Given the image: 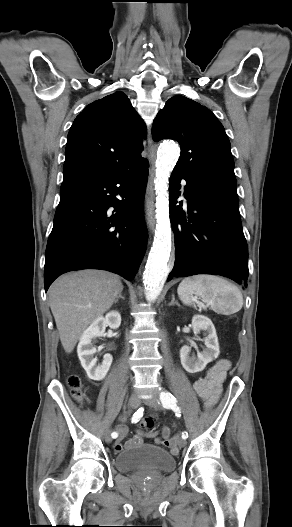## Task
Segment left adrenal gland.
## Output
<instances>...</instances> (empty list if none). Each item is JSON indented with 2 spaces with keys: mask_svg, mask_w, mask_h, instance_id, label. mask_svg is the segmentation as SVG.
I'll return each instance as SVG.
<instances>
[{
  "mask_svg": "<svg viewBox=\"0 0 292 527\" xmlns=\"http://www.w3.org/2000/svg\"><path fill=\"white\" fill-rule=\"evenodd\" d=\"M172 305H177V306L180 307V304H179L177 301H175V296H174V294L172 295V300H171V302L169 303V306H172Z\"/></svg>",
  "mask_w": 292,
  "mask_h": 527,
  "instance_id": "left-adrenal-gland-1",
  "label": "left adrenal gland"
}]
</instances>
